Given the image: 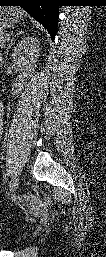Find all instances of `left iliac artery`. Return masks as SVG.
I'll return each mask as SVG.
<instances>
[{"instance_id": "44dca946", "label": "left iliac artery", "mask_w": 106, "mask_h": 257, "mask_svg": "<svg viewBox=\"0 0 106 257\" xmlns=\"http://www.w3.org/2000/svg\"><path fill=\"white\" fill-rule=\"evenodd\" d=\"M7 180H8V174L5 173L4 176H3V181H4V183L7 182Z\"/></svg>"}]
</instances>
